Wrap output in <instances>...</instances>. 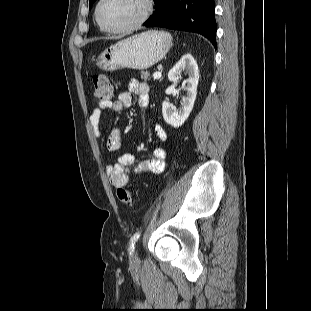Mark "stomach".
Returning <instances> with one entry per match:
<instances>
[{
	"label": "stomach",
	"instance_id": "1",
	"mask_svg": "<svg viewBox=\"0 0 311 311\" xmlns=\"http://www.w3.org/2000/svg\"><path fill=\"white\" fill-rule=\"evenodd\" d=\"M171 46L168 32L149 30L111 45L98 56L96 65L104 71L144 70L162 60Z\"/></svg>",
	"mask_w": 311,
	"mask_h": 311
}]
</instances>
